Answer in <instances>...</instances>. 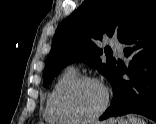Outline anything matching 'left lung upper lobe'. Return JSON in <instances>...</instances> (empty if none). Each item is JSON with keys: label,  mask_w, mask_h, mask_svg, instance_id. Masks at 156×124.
Segmentation results:
<instances>
[{"label": "left lung upper lobe", "mask_w": 156, "mask_h": 124, "mask_svg": "<svg viewBox=\"0 0 156 124\" xmlns=\"http://www.w3.org/2000/svg\"><path fill=\"white\" fill-rule=\"evenodd\" d=\"M152 0H85L56 29L43 73L44 86L68 64L82 61L109 81L116 69L114 58L103 63L97 40L115 35L120 42L130 34ZM106 50V49H105ZM106 53V51H105Z\"/></svg>", "instance_id": "obj_1"}]
</instances>
